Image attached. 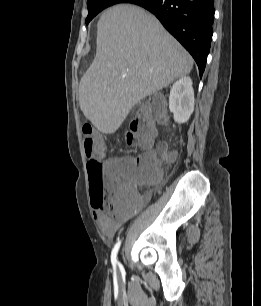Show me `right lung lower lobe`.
<instances>
[{
  "label": "right lung lower lobe",
  "instance_id": "obj_1",
  "mask_svg": "<svg viewBox=\"0 0 261 306\" xmlns=\"http://www.w3.org/2000/svg\"><path fill=\"white\" fill-rule=\"evenodd\" d=\"M152 12L196 61L200 76L212 39L214 0H134Z\"/></svg>",
  "mask_w": 261,
  "mask_h": 306
}]
</instances>
